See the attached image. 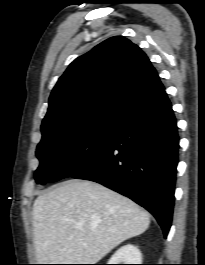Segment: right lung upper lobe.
<instances>
[{"label": "right lung upper lobe", "mask_w": 205, "mask_h": 265, "mask_svg": "<svg viewBox=\"0 0 205 265\" xmlns=\"http://www.w3.org/2000/svg\"><path fill=\"white\" fill-rule=\"evenodd\" d=\"M164 93L146 54L124 37H111L75 59L59 78L41 131L62 133L97 122L120 124Z\"/></svg>", "instance_id": "right-lung-upper-lobe-1"}]
</instances>
